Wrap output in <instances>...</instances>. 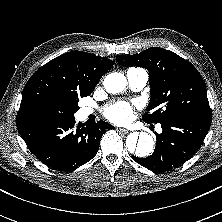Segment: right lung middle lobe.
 Segmentation results:
<instances>
[{"mask_svg": "<svg viewBox=\"0 0 222 222\" xmlns=\"http://www.w3.org/2000/svg\"><path fill=\"white\" fill-rule=\"evenodd\" d=\"M78 101L79 96L68 99H50L42 109V116L63 120L74 119V113L79 109Z\"/></svg>", "mask_w": 222, "mask_h": 222, "instance_id": "dd1d6c3e", "label": "right lung middle lobe"}]
</instances>
